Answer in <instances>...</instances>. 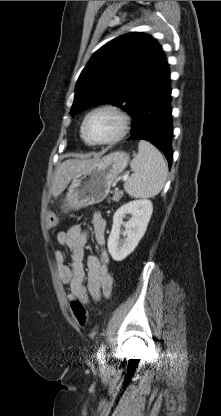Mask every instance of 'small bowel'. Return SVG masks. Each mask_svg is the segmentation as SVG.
Instances as JSON below:
<instances>
[{
  "mask_svg": "<svg viewBox=\"0 0 221 416\" xmlns=\"http://www.w3.org/2000/svg\"><path fill=\"white\" fill-rule=\"evenodd\" d=\"M92 233L96 243L101 247L99 254L85 258V248L89 232L80 224L71 226L57 234V242L70 252V262L61 249L54 251L56 268L62 282L69 286L68 300L79 299L88 303L89 299L108 298L113 287V277L109 268V256L103 248L105 244L106 220L100 213L91 218ZM87 284H84V279Z\"/></svg>",
  "mask_w": 221,
  "mask_h": 416,
  "instance_id": "1",
  "label": "small bowel"
}]
</instances>
